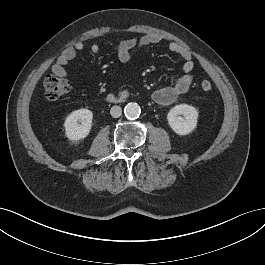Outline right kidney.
I'll return each mask as SVG.
<instances>
[{
	"label": "right kidney",
	"mask_w": 265,
	"mask_h": 265,
	"mask_svg": "<svg viewBox=\"0 0 265 265\" xmlns=\"http://www.w3.org/2000/svg\"><path fill=\"white\" fill-rule=\"evenodd\" d=\"M92 119L93 113L88 109L73 111L64 123L66 137L72 141L86 138L92 127Z\"/></svg>",
	"instance_id": "ca27d5eb"
}]
</instances>
